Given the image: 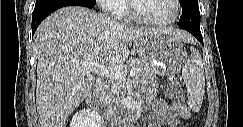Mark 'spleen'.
<instances>
[{"instance_id": "spleen-1", "label": "spleen", "mask_w": 243, "mask_h": 127, "mask_svg": "<svg viewBox=\"0 0 243 127\" xmlns=\"http://www.w3.org/2000/svg\"><path fill=\"white\" fill-rule=\"evenodd\" d=\"M188 96V105L193 111H199L205 93L204 67L201 56L195 48H191V55L182 69Z\"/></svg>"}]
</instances>
